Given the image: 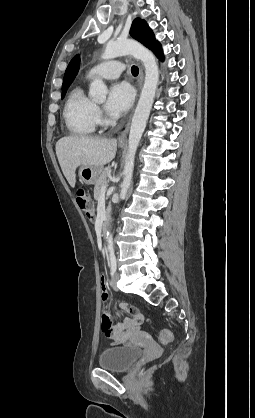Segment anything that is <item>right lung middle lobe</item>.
Instances as JSON below:
<instances>
[{"instance_id": "dd1d6c3e", "label": "right lung middle lobe", "mask_w": 255, "mask_h": 418, "mask_svg": "<svg viewBox=\"0 0 255 418\" xmlns=\"http://www.w3.org/2000/svg\"><path fill=\"white\" fill-rule=\"evenodd\" d=\"M66 91H67V88L62 90V99H63V97H64V95H65Z\"/></svg>"}]
</instances>
